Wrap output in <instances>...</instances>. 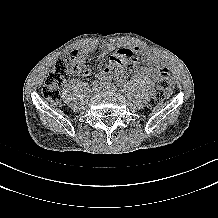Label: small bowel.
<instances>
[{
    "label": "small bowel",
    "instance_id": "obj_1",
    "mask_svg": "<svg viewBox=\"0 0 218 218\" xmlns=\"http://www.w3.org/2000/svg\"><path fill=\"white\" fill-rule=\"evenodd\" d=\"M112 52L113 54L110 57V62L112 64L120 65V69L116 75L118 81H123L127 75L135 71L156 79L159 70L162 68L160 59L150 51L141 50L138 47L116 48L111 43H105L101 46H89L85 49L74 51L71 62V73L76 75L82 74L86 77L90 76L92 74V69L90 67H85L88 56L97 54L99 58H103ZM135 54H140L142 59L136 58ZM109 72L110 69L105 68L99 73L98 77H105Z\"/></svg>",
    "mask_w": 218,
    "mask_h": 218
}]
</instances>
